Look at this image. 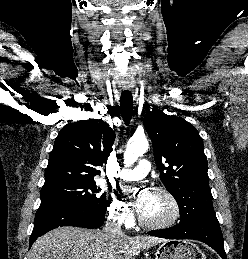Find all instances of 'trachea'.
Returning <instances> with one entry per match:
<instances>
[{
	"mask_svg": "<svg viewBox=\"0 0 248 259\" xmlns=\"http://www.w3.org/2000/svg\"><path fill=\"white\" fill-rule=\"evenodd\" d=\"M121 114L125 124H129L133 113V97L131 92L125 91L120 97Z\"/></svg>",
	"mask_w": 248,
	"mask_h": 259,
	"instance_id": "3493384b",
	"label": "trachea"
}]
</instances>
